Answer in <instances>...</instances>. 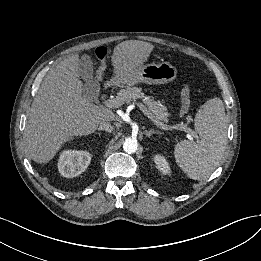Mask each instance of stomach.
Here are the masks:
<instances>
[{"mask_svg": "<svg viewBox=\"0 0 261 261\" xmlns=\"http://www.w3.org/2000/svg\"><path fill=\"white\" fill-rule=\"evenodd\" d=\"M134 71L136 73L129 77L124 83H119L115 75H113V80L120 85H134L139 82L162 85L175 80L178 73L176 67L168 62L146 64L135 68Z\"/></svg>", "mask_w": 261, "mask_h": 261, "instance_id": "obj_1", "label": "stomach"}]
</instances>
